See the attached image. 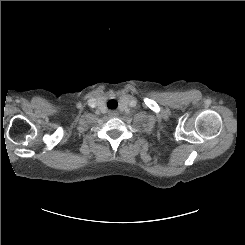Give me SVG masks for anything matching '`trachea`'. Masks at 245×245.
<instances>
[{
	"instance_id": "3493384b",
	"label": "trachea",
	"mask_w": 245,
	"mask_h": 245,
	"mask_svg": "<svg viewBox=\"0 0 245 245\" xmlns=\"http://www.w3.org/2000/svg\"><path fill=\"white\" fill-rule=\"evenodd\" d=\"M117 101L115 99H111L108 103H107V106L109 109H115L117 108Z\"/></svg>"
}]
</instances>
